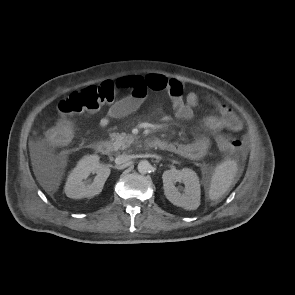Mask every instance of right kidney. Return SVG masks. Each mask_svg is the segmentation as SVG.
Returning <instances> with one entry per match:
<instances>
[{
    "mask_svg": "<svg viewBox=\"0 0 295 295\" xmlns=\"http://www.w3.org/2000/svg\"><path fill=\"white\" fill-rule=\"evenodd\" d=\"M91 173H96L92 182L86 180ZM109 175L110 168L100 164L98 155H87L68 176L65 194L72 199L92 198L102 191Z\"/></svg>",
    "mask_w": 295,
    "mask_h": 295,
    "instance_id": "obj_1",
    "label": "right kidney"
}]
</instances>
